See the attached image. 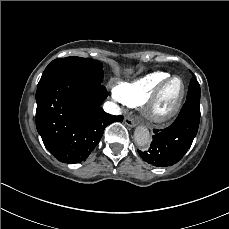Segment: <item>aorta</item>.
I'll list each match as a JSON object with an SVG mask.
<instances>
[{
  "instance_id": "1",
  "label": "aorta",
  "mask_w": 229,
  "mask_h": 229,
  "mask_svg": "<svg viewBox=\"0 0 229 229\" xmlns=\"http://www.w3.org/2000/svg\"><path fill=\"white\" fill-rule=\"evenodd\" d=\"M134 141L139 147H145L150 143V132L145 127H137L134 131Z\"/></svg>"
}]
</instances>
